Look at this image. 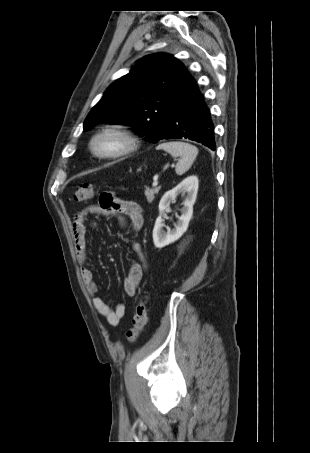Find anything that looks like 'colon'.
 Segmentation results:
<instances>
[{"label": "colon", "mask_w": 310, "mask_h": 453, "mask_svg": "<svg viewBox=\"0 0 310 453\" xmlns=\"http://www.w3.org/2000/svg\"><path fill=\"white\" fill-rule=\"evenodd\" d=\"M94 195V188L91 184H81L76 187L73 199L76 202H84L91 199ZM115 196L112 193H102L99 202L101 206L108 209L113 203ZM147 301L146 297H141L135 308L132 317V326L128 329L126 337L129 341H135L147 323Z\"/></svg>", "instance_id": "obj_1"}]
</instances>
